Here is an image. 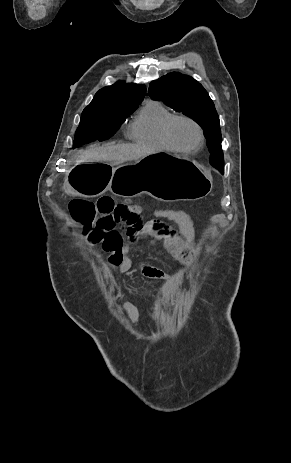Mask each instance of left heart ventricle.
<instances>
[{"instance_id": "obj_1", "label": "left heart ventricle", "mask_w": 291, "mask_h": 463, "mask_svg": "<svg viewBox=\"0 0 291 463\" xmlns=\"http://www.w3.org/2000/svg\"><path fill=\"white\" fill-rule=\"evenodd\" d=\"M172 137L178 145L184 148H192L198 142L196 128L186 121H178L174 124Z\"/></svg>"}]
</instances>
